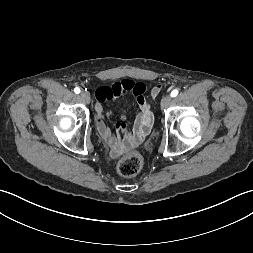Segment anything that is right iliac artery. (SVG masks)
I'll use <instances>...</instances> for the list:
<instances>
[{
    "label": "right iliac artery",
    "mask_w": 253,
    "mask_h": 253,
    "mask_svg": "<svg viewBox=\"0 0 253 253\" xmlns=\"http://www.w3.org/2000/svg\"><path fill=\"white\" fill-rule=\"evenodd\" d=\"M74 92H75L76 94H79V93H80V89H79L78 87H76V88L74 89Z\"/></svg>",
    "instance_id": "obj_1"
}]
</instances>
